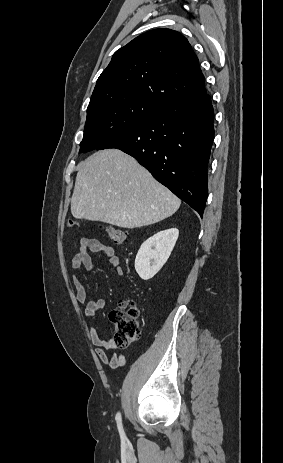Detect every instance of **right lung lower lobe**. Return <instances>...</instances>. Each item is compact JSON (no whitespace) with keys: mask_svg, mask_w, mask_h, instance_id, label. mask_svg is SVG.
<instances>
[{"mask_svg":"<svg viewBox=\"0 0 283 463\" xmlns=\"http://www.w3.org/2000/svg\"><path fill=\"white\" fill-rule=\"evenodd\" d=\"M213 115L206 92L174 101L97 150L117 148L133 156L202 217L208 195Z\"/></svg>","mask_w":283,"mask_h":463,"instance_id":"right-lung-lower-lobe-1","label":"right lung lower lobe"}]
</instances>
